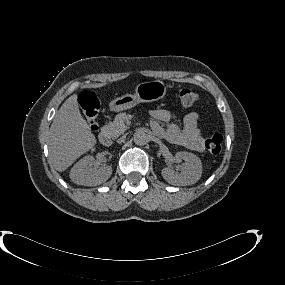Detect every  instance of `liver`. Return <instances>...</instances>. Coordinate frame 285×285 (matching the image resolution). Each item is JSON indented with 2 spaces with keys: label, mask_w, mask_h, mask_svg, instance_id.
<instances>
[{
  "label": "liver",
  "mask_w": 285,
  "mask_h": 285,
  "mask_svg": "<svg viewBox=\"0 0 285 285\" xmlns=\"http://www.w3.org/2000/svg\"><path fill=\"white\" fill-rule=\"evenodd\" d=\"M95 144L96 138L79 111L77 94H73L62 104L49 130L51 162L57 171H65Z\"/></svg>",
  "instance_id": "liver-1"
}]
</instances>
